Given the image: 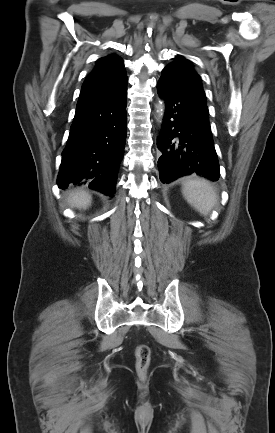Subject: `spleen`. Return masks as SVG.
<instances>
[{
  "mask_svg": "<svg viewBox=\"0 0 275 433\" xmlns=\"http://www.w3.org/2000/svg\"><path fill=\"white\" fill-rule=\"evenodd\" d=\"M182 193L185 199L201 214H208L216 202L213 187L205 180L195 179L187 181Z\"/></svg>",
  "mask_w": 275,
  "mask_h": 433,
  "instance_id": "1",
  "label": "spleen"
}]
</instances>
